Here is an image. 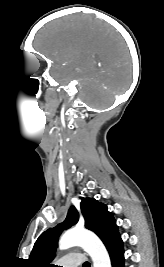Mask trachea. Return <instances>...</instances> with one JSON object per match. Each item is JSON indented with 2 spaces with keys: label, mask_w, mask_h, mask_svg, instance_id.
<instances>
[{
  "label": "trachea",
  "mask_w": 164,
  "mask_h": 267,
  "mask_svg": "<svg viewBox=\"0 0 164 267\" xmlns=\"http://www.w3.org/2000/svg\"><path fill=\"white\" fill-rule=\"evenodd\" d=\"M83 267H90V263H89V262H85V263L83 264Z\"/></svg>",
  "instance_id": "1"
}]
</instances>
